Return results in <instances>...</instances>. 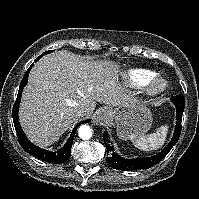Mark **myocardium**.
Masks as SVG:
<instances>
[{
	"instance_id": "myocardium-1",
	"label": "myocardium",
	"mask_w": 199,
	"mask_h": 199,
	"mask_svg": "<svg viewBox=\"0 0 199 199\" xmlns=\"http://www.w3.org/2000/svg\"><path fill=\"white\" fill-rule=\"evenodd\" d=\"M167 89H168L167 81L164 78L157 75L147 84V90L150 95L162 94Z\"/></svg>"
}]
</instances>
